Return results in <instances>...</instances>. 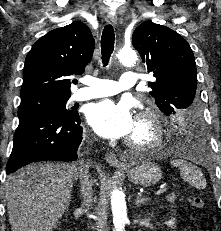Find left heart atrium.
Wrapping results in <instances>:
<instances>
[{
    "label": "left heart atrium",
    "mask_w": 221,
    "mask_h": 231,
    "mask_svg": "<svg viewBox=\"0 0 221 231\" xmlns=\"http://www.w3.org/2000/svg\"><path fill=\"white\" fill-rule=\"evenodd\" d=\"M87 121L98 135L111 139L129 136L136 124L130 106L112 100L92 104Z\"/></svg>",
    "instance_id": "1"
}]
</instances>
